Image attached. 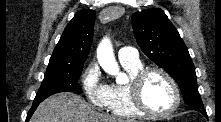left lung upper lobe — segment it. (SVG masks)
<instances>
[{
    "instance_id": "1",
    "label": "left lung upper lobe",
    "mask_w": 221,
    "mask_h": 122,
    "mask_svg": "<svg viewBox=\"0 0 221 122\" xmlns=\"http://www.w3.org/2000/svg\"><path fill=\"white\" fill-rule=\"evenodd\" d=\"M131 20L142 51L174 78L187 105L197 111L204 109L188 49L166 14L150 9L134 13Z\"/></svg>"
}]
</instances>
